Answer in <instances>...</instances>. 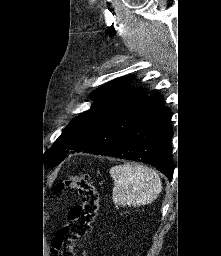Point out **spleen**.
Returning <instances> with one entry per match:
<instances>
[{"label":"spleen","instance_id":"1","mask_svg":"<svg viewBox=\"0 0 221 256\" xmlns=\"http://www.w3.org/2000/svg\"><path fill=\"white\" fill-rule=\"evenodd\" d=\"M114 180L113 202L122 206L151 204L162 189L158 174L139 164H125L110 169Z\"/></svg>","mask_w":221,"mask_h":256}]
</instances>
